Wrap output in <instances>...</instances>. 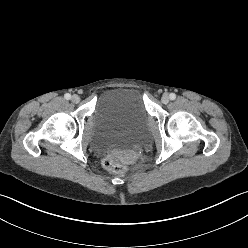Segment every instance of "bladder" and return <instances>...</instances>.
Here are the masks:
<instances>
[{
    "label": "bladder",
    "mask_w": 248,
    "mask_h": 248,
    "mask_svg": "<svg viewBox=\"0 0 248 248\" xmlns=\"http://www.w3.org/2000/svg\"><path fill=\"white\" fill-rule=\"evenodd\" d=\"M141 91L108 90L97 101L90 119V146L99 152L125 153L138 149L150 121Z\"/></svg>",
    "instance_id": "1"
}]
</instances>
